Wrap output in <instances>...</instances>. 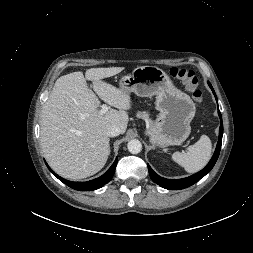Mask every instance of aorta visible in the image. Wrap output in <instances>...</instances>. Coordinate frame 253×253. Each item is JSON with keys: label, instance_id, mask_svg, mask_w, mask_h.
<instances>
[{"label": "aorta", "instance_id": "obj_1", "mask_svg": "<svg viewBox=\"0 0 253 253\" xmlns=\"http://www.w3.org/2000/svg\"><path fill=\"white\" fill-rule=\"evenodd\" d=\"M128 151L132 154H138L142 150V144L137 139H132L127 144Z\"/></svg>", "mask_w": 253, "mask_h": 253}]
</instances>
